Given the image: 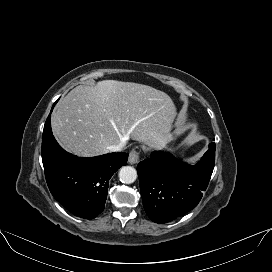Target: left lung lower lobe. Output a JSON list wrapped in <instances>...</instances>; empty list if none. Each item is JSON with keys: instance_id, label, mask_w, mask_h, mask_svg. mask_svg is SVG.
<instances>
[{"instance_id": "obj_1", "label": "left lung lower lobe", "mask_w": 272, "mask_h": 272, "mask_svg": "<svg viewBox=\"0 0 272 272\" xmlns=\"http://www.w3.org/2000/svg\"><path fill=\"white\" fill-rule=\"evenodd\" d=\"M215 143L195 164L180 163L169 153L154 151L140 162L137 173L145 211L156 223H167L197 206L210 181Z\"/></svg>"}]
</instances>
